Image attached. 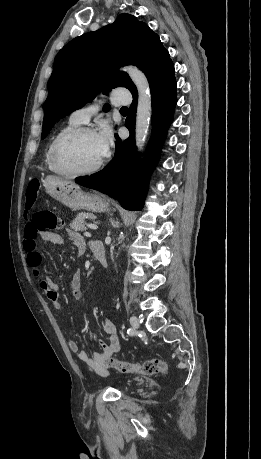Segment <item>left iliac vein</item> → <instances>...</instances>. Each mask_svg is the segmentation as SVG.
I'll return each mask as SVG.
<instances>
[{
	"label": "left iliac vein",
	"instance_id": "obj_1",
	"mask_svg": "<svg viewBox=\"0 0 261 459\" xmlns=\"http://www.w3.org/2000/svg\"><path fill=\"white\" fill-rule=\"evenodd\" d=\"M130 323H131V325H132V327L134 329H138L139 328V321H138V319L136 317H134V316L131 317L130 318Z\"/></svg>",
	"mask_w": 261,
	"mask_h": 459
}]
</instances>
